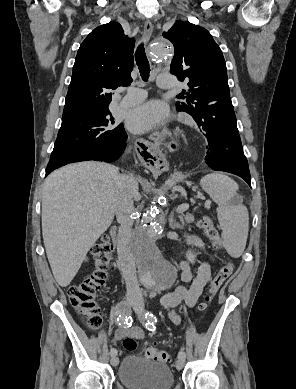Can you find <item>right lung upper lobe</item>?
Returning a JSON list of instances; mask_svg holds the SVG:
<instances>
[{
	"label": "right lung upper lobe",
	"mask_w": 296,
	"mask_h": 389,
	"mask_svg": "<svg viewBox=\"0 0 296 389\" xmlns=\"http://www.w3.org/2000/svg\"><path fill=\"white\" fill-rule=\"evenodd\" d=\"M134 43L112 22L86 37L75 59L63 117L109 110L112 90L132 82Z\"/></svg>",
	"instance_id": "obj_1"
}]
</instances>
